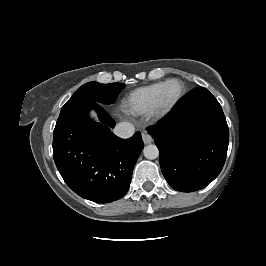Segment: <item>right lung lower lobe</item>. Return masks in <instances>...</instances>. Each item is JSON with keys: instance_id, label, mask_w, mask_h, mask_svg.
I'll use <instances>...</instances> for the list:
<instances>
[{"instance_id": "right-lung-lower-lobe-1", "label": "right lung lower lobe", "mask_w": 266, "mask_h": 266, "mask_svg": "<svg viewBox=\"0 0 266 266\" xmlns=\"http://www.w3.org/2000/svg\"><path fill=\"white\" fill-rule=\"evenodd\" d=\"M94 109L99 123L89 117ZM115 121L96 102L84 103L57 121L53 158L66 184L79 196L97 203L122 198L143 149L140 133L121 139L111 132Z\"/></svg>"}]
</instances>
